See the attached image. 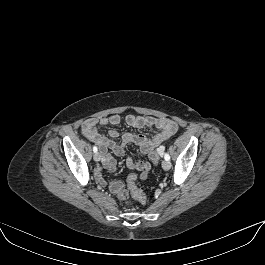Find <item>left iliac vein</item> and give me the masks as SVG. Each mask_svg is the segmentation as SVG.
<instances>
[{
	"label": "left iliac vein",
	"mask_w": 265,
	"mask_h": 265,
	"mask_svg": "<svg viewBox=\"0 0 265 265\" xmlns=\"http://www.w3.org/2000/svg\"><path fill=\"white\" fill-rule=\"evenodd\" d=\"M162 167L164 170H169L171 168V163L167 160H163Z\"/></svg>",
	"instance_id": "4c4485c4"
}]
</instances>
